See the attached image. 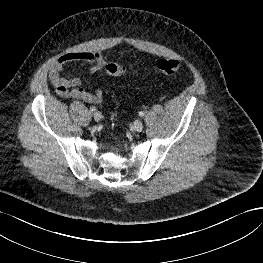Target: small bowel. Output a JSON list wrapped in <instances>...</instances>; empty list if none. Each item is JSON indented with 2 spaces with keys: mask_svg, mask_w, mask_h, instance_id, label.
Wrapping results in <instances>:
<instances>
[{
  "mask_svg": "<svg viewBox=\"0 0 263 263\" xmlns=\"http://www.w3.org/2000/svg\"><path fill=\"white\" fill-rule=\"evenodd\" d=\"M71 62H85L89 65L91 72L101 70L105 60L100 52H72L60 56L51 66L49 79L55 91L62 97H71L87 103L97 104L103 100V92L96 90L88 92L81 87L80 79L76 77H64L62 70Z\"/></svg>",
  "mask_w": 263,
  "mask_h": 263,
  "instance_id": "1",
  "label": "small bowel"
}]
</instances>
